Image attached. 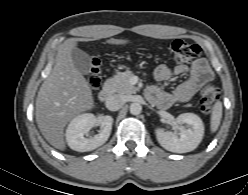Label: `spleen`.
<instances>
[{
	"mask_svg": "<svg viewBox=\"0 0 248 195\" xmlns=\"http://www.w3.org/2000/svg\"><path fill=\"white\" fill-rule=\"evenodd\" d=\"M221 118H222V103L220 101H217L212 108L211 121H210L211 132L214 133L217 131L220 125Z\"/></svg>",
	"mask_w": 248,
	"mask_h": 195,
	"instance_id": "1",
	"label": "spleen"
}]
</instances>
